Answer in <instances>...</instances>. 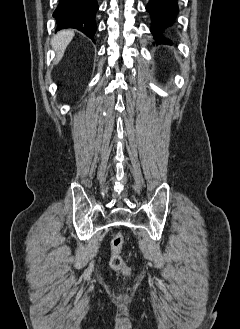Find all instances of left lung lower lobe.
Instances as JSON below:
<instances>
[{
    "mask_svg": "<svg viewBox=\"0 0 240 329\" xmlns=\"http://www.w3.org/2000/svg\"><path fill=\"white\" fill-rule=\"evenodd\" d=\"M146 10L151 16L152 26L150 29L156 42L171 43L165 34L166 30L173 26L179 12L177 0H149Z\"/></svg>",
    "mask_w": 240,
    "mask_h": 329,
    "instance_id": "0a47b994",
    "label": "left lung lower lobe"
}]
</instances>
